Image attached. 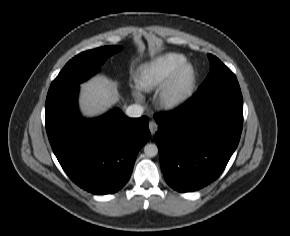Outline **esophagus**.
<instances>
[{
  "mask_svg": "<svg viewBox=\"0 0 290 236\" xmlns=\"http://www.w3.org/2000/svg\"><path fill=\"white\" fill-rule=\"evenodd\" d=\"M149 130H150V132H151V134L153 135V134H155V132L157 131V129H158V125H157V123L154 121V120H151L150 122H149Z\"/></svg>",
  "mask_w": 290,
  "mask_h": 236,
  "instance_id": "esophagus-1",
  "label": "esophagus"
}]
</instances>
